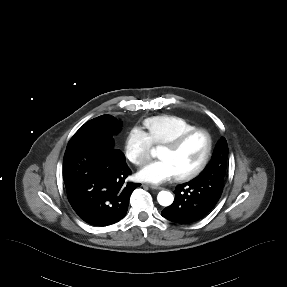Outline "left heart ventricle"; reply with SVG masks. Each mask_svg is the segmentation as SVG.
Instances as JSON below:
<instances>
[{"instance_id": "1", "label": "left heart ventricle", "mask_w": 287, "mask_h": 287, "mask_svg": "<svg viewBox=\"0 0 287 287\" xmlns=\"http://www.w3.org/2000/svg\"><path fill=\"white\" fill-rule=\"evenodd\" d=\"M207 147V141L203 134L193 136L178 151L163 148L159 152V159L168 161L173 167L176 176L194 169L202 160Z\"/></svg>"}]
</instances>
